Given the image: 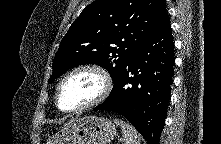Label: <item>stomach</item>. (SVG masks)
<instances>
[{"mask_svg":"<svg viewBox=\"0 0 221 144\" xmlns=\"http://www.w3.org/2000/svg\"><path fill=\"white\" fill-rule=\"evenodd\" d=\"M115 136L110 119L89 115L72 119L47 144H108Z\"/></svg>","mask_w":221,"mask_h":144,"instance_id":"obj_1","label":"stomach"}]
</instances>
